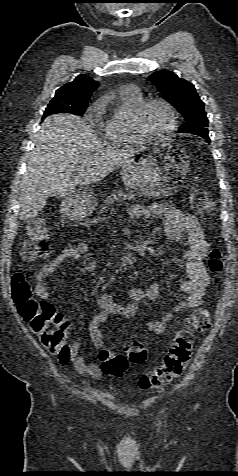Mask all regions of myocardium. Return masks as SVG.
Listing matches in <instances>:
<instances>
[{"label":"myocardium","mask_w":238,"mask_h":476,"mask_svg":"<svg viewBox=\"0 0 238 476\" xmlns=\"http://www.w3.org/2000/svg\"><path fill=\"white\" fill-rule=\"evenodd\" d=\"M152 104H161L163 105L170 115V124L167 129L159 135H150L142 127L141 120L146 109ZM178 116L173 105L163 98H148L143 100L135 108L134 112L130 118V126L134 135L137 137L138 141L149 142V141H159L167 138L171 135L177 128Z\"/></svg>","instance_id":"myocardium-1"}]
</instances>
